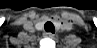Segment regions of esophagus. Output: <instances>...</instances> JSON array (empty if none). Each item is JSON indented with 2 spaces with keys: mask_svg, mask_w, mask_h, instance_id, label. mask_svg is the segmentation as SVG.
<instances>
[{
  "mask_svg": "<svg viewBox=\"0 0 97 48\" xmlns=\"http://www.w3.org/2000/svg\"><path fill=\"white\" fill-rule=\"evenodd\" d=\"M43 35H44V37H47V38H53L54 37V34H52L50 32H45Z\"/></svg>",
  "mask_w": 97,
  "mask_h": 48,
  "instance_id": "1",
  "label": "esophagus"
}]
</instances>
